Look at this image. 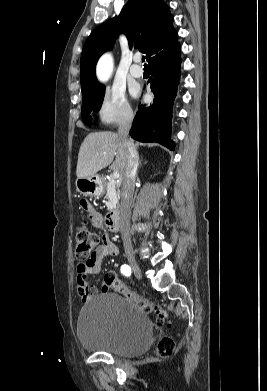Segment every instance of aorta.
Returning a JSON list of instances; mask_svg holds the SVG:
<instances>
[{
    "instance_id": "762f6f07",
    "label": "aorta",
    "mask_w": 267,
    "mask_h": 391,
    "mask_svg": "<svg viewBox=\"0 0 267 391\" xmlns=\"http://www.w3.org/2000/svg\"><path fill=\"white\" fill-rule=\"evenodd\" d=\"M113 60L110 54L103 55L97 65V75L101 81H106L111 73Z\"/></svg>"
}]
</instances>
